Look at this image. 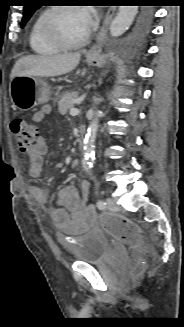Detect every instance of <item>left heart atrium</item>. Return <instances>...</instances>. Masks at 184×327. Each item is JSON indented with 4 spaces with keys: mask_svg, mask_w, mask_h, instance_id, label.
Masks as SVG:
<instances>
[{
    "mask_svg": "<svg viewBox=\"0 0 184 327\" xmlns=\"http://www.w3.org/2000/svg\"><path fill=\"white\" fill-rule=\"evenodd\" d=\"M80 11L82 12L86 23L89 27H91L94 23L95 20V14L92 13L91 11H89L88 9H80Z\"/></svg>",
    "mask_w": 184,
    "mask_h": 327,
    "instance_id": "1",
    "label": "left heart atrium"
}]
</instances>
